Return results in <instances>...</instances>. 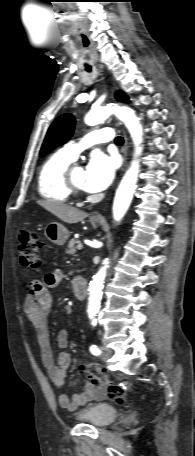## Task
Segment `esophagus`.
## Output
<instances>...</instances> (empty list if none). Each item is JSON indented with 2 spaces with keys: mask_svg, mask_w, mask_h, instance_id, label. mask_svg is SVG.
Masks as SVG:
<instances>
[{
  "mask_svg": "<svg viewBox=\"0 0 195 456\" xmlns=\"http://www.w3.org/2000/svg\"><path fill=\"white\" fill-rule=\"evenodd\" d=\"M128 148H129L128 138H127V135L125 134L124 135V146L122 148V152H123V155H124V168L127 165ZM124 168H123V170H124ZM92 219H94V220H103L104 219L103 213L101 211L94 213L93 216H92Z\"/></svg>",
  "mask_w": 195,
  "mask_h": 456,
  "instance_id": "obj_1",
  "label": "esophagus"
}]
</instances>
